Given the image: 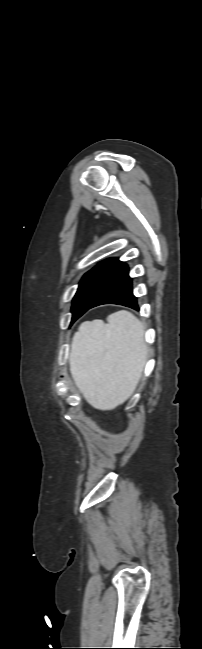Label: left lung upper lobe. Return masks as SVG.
Wrapping results in <instances>:
<instances>
[{"mask_svg":"<svg viewBox=\"0 0 202 649\" xmlns=\"http://www.w3.org/2000/svg\"><path fill=\"white\" fill-rule=\"evenodd\" d=\"M123 264L117 258H110L100 262L83 276L73 298L72 323L84 314L86 306L99 295Z\"/></svg>","mask_w":202,"mask_h":649,"instance_id":"5c2ea615","label":"left lung upper lobe"}]
</instances>
